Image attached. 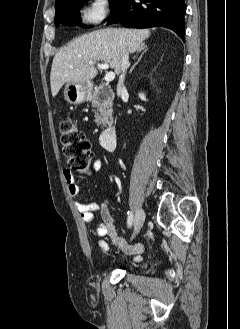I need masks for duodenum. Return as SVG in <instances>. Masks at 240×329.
Segmentation results:
<instances>
[{
    "label": "duodenum",
    "instance_id": "410a0bca",
    "mask_svg": "<svg viewBox=\"0 0 240 329\" xmlns=\"http://www.w3.org/2000/svg\"><path fill=\"white\" fill-rule=\"evenodd\" d=\"M116 130L112 127L105 129L100 135V145L106 151H112L115 147Z\"/></svg>",
    "mask_w": 240,
    "mask_h": 329
}]
</instances>
